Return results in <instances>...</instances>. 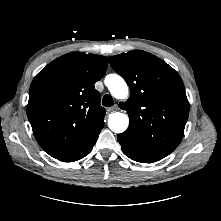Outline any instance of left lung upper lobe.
I'll use <instances>...</instances> for the list:
<instances>
[{
	"label": "left lung upper lobe",
	"mask_w": 221,
	"mask_h": 221,
	"mask_svg": "<svg viewBox=\"0 0 221 221\" xmlns=\"http://www.w3.org/2000/svg\"><path fill=\"white\" fill-rule=\"evenodd\" d=\"M109 62L130 87V98L120 103L130 119L126 133L142 148L169 155L182 140L189 115L181 77L166 62L142 50L113 56Z\"/></svg>",
	"instance_id": "1"
}]
</instances>
